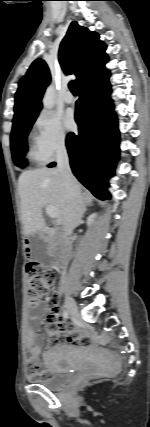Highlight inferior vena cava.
I'll return each mask as SVG.
<instances>
[{
    "label": "inferior vena cava",
    "mask_w": 150,
    "mask_h": 427,
    "mask_svg": "<svg viewBox=\"0 0 150 427\" xmlns=\"http://www.w3.org/2000/svg\"><path fill=\"white\" fill-rule=\"evenodd\" d=\"M58 171L62 175L66 190V210L63 222L65 234H71L84 212V200L78 182L71 172L68 153L64 143H60L56 151Z\"/></svg>",
    "instance_id": "inferior-vena-cava-1"
}]
</instances>
